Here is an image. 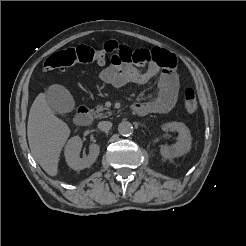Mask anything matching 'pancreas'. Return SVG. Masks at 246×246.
<instances>
[{"label": "pancreas", "mask_w": 246, "mask_h": 246, "mask_svg": "<svg viewBox=\"0 0 246 246\" xmlns=\"http://www.w3.org/2000/svg\"><path fill=\"white\" fill-rule=\"evenodd\" d=\"M93 113H94L95 118H105L108 115H111V112L109 111V109L103 105H98L96 107V111H94Z\"/></svg>", "instance_id": "cf45deb5"}]
</instances>
